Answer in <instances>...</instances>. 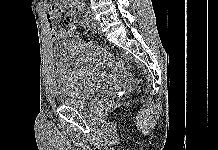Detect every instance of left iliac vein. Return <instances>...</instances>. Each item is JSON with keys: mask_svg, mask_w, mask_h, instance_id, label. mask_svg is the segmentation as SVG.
Instances as JSON below:
<instances>
[{"mask_svg": "<svg viewBox=\"0 0 218 150\" xmlns=\"http://www.w3.org/2000/svg\"><path fill=\"white\" fill-rule=\"evenodd\" d=\"M86 15L88 22L91 24L92 27H99V22L95 19L94 15L91 12L88 11Z\"/></svg>", "mask_w": 218, "mask_h": 150, "instance_id": "4c4485c4", "label": "left iliac vein"}]
</instances>
